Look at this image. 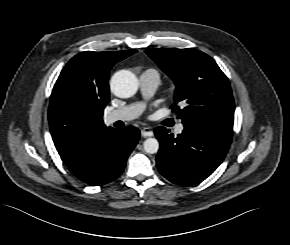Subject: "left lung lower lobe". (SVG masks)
<instances>
[{
  "mask_svg": "<svg viewBox=\"0 0 290 245\" xmlns=\"http://www.w3.org/2000/svg\"><path fill=\"white\" fill-rule=\"evenodd\" d=\"M160 142L156 157L159 172L183 186L199 183L210 176L224 160L232 137L199 124H186L176 138L164 127L154 129Z\"/></svg>",
  "mask_w": 290,
  "mask_h": 245,
  "instance_id": "left-lung-lower-lobe-1",
  "label": "left lung lower lobe"
}]
</instances>
